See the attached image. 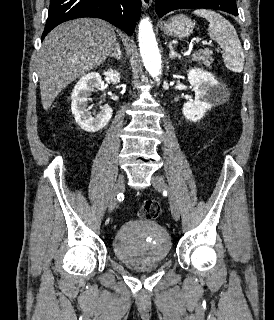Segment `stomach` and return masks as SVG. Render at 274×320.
Segmentation results:
<instances>
[{
	"label": "stomach",
	"mask_w": 274,
	"mask_h": 320,
	"mask_svg": "<svg viewBox=\"0 0 274 320\" xmlns=\"http://www.w3.org/2000/svg\"><path fill=\"white\" fill-rule=\"evenodd\" d=\"M194 22L187 18V16H183V14H179V16H173V18H169L167 22H161L160 30L165 32L167 36H173V38H187L190 36L194 30Z\"/></svg>",
	"instance_id": "stomach-1"
}]
</instances>
